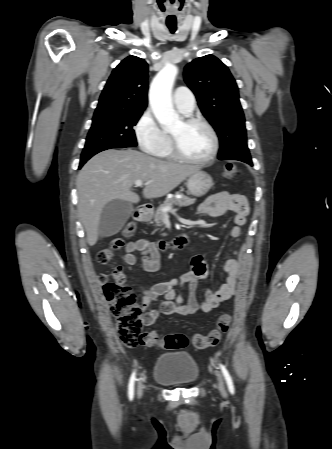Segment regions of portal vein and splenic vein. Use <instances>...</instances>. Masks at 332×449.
I'll list each match as a JSON object with an SVG mask.
<instances>
[{
    "instance_id": "portal-vein-and-splenic-vein-1",
    "label": "portal vein and splenic vein",
    "mask_w": 332,
    "mask_h": 449,
    "mask_svg": "<svg viewBox=\"0 0 332 449\" xmlns=\"http://www.w3.org/2000/svg\"><path fill=\"white\" fill-rule=\"evenodd\" d=\"M135 185H136V187H141L143 185H146V183H143L141 180H137V181H135ZM171 210H172L171 207L163 208V212H168V211H171Z\"/></svg>"
}]
</instances>
